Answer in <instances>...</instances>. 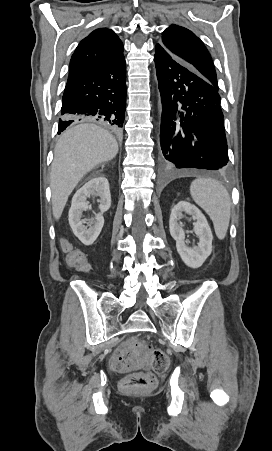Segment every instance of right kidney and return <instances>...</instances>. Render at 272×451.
I'll return each instance as SVG.
<instances>
[{
    "label": "right kidney",
    "instance_id": "1",
    "mask_svg": "<svg viewBox=\"0 0 272 451\" xmlns=\"http://www.w3.org/2000/svg\"><path fill=\"white\" fill-rule=\"evenodd\" d=\"M90 196H99V214H95L91 220H81L82 212L88 210L87 198ZM111 206V194L109 182L103 176L92 178L87 184H84L80 190H77L72 198L71 208L69 210V224L73 233L79 237L85 245H91L98 237L104 226L103 212H107ZM87 224V226H84Z\"/></svg>",
    "mask_w": 272,
    "mask_h": 451
}]
</instances>
